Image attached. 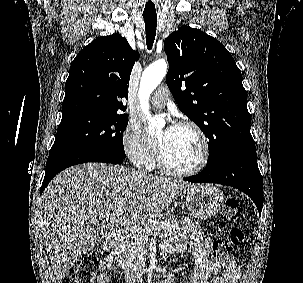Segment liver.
<instances>
[{
	"label": "liver",
	"mask_w": 303,
	"mask_h": 283,
	"mask_svg": "<svg viewBox=\"0 0 303 283\" xmlns=\"http://www.w3.org/2000/svg\"><path fill=\"white\" fill-rule=\"evenodd\" d=\"M189 182L152 176L124 166L76 165L59 173L42 194L45 245L58 283L75 262L100 241L95 225L111 215L159 214L187 189Z\"/></svg>",
	"instance_id": "liver-1"
}]
</instances>
